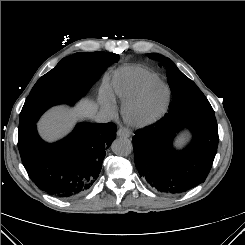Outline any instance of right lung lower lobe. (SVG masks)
Masks as SVG:
<instances>
[{"mask_svg": "<svg viewBox=\"0 0 245 245\" xmlns=\"http://www.w3.org/2000/svg\"><path fill=\"white\" fill-rule=\"evenodd\" d=\"M84 79L92 84L107 68L98 57L80 60ZM114 123H80L63 140L49 144L32 124L18 132V148L30 179L43 191L58 198L85 193L98 178L105 149L116 137Z\"/></svg>", "mask_w": 245, "mask_h": 245, "instance_id": "1", "label": "right lung lower lobe"}]
</instances>
